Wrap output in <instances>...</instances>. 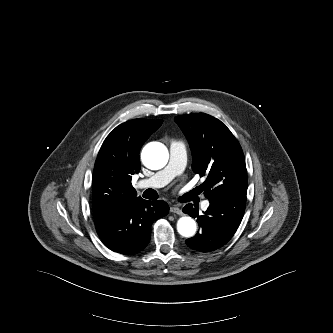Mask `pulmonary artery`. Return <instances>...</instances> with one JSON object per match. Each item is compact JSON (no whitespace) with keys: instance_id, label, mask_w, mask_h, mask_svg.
<instances>
[{"instance_id":"e3ab8cb5","label":"pulmonary artery","mask_w":333,"mask_h":333,"mask_svg":"<svg viewBox=\"0 0 333 333\" xmlns=\"http://www.w3.org/2000/svg\"><path fill=\"white\" fill-rule=\"evenodd\" d=\"M186 164V148L181 141H171L170 144V157L167 166L154 174L152 177L142 180L138 186L140 188L146 187H163L168 184L174 177L180 175ZM208 202H205L203 207L207 208Z\"/></svg>"}]
</instances>
